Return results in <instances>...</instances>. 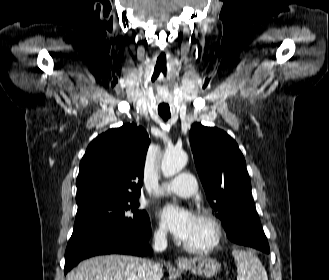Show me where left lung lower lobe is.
<instances>
[{"mask_svg":"<svg viewBox=\"0 0 329 280\" xmlns=\"http://www.w3.org/2000/svg\"><path fill=\"white\" fill-rule=\"evenodd\" d=\"M225 230L228 238L237 244L250 246L265 253L270 252L254 203L250 204L249 211L241 221L235 222Z\"/></svg>","mask_w":329,"mask_h":280,"instance_id":"left-lung-lower-lobe-1","label":"left lung lower lobe"}]
</instances>
